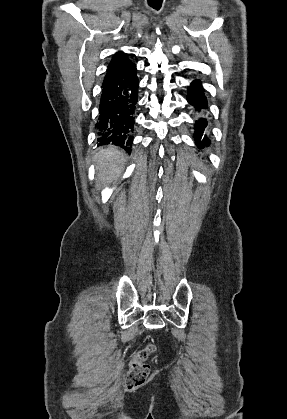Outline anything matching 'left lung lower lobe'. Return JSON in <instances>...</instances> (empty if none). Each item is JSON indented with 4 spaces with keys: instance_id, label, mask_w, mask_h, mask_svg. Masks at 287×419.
<instances>
[{
    "instance_id": "1",
    "label": "left lung lower lobe",
    "mask_w": 287,
    "mask_h": 419,
    "mask_svg": "<svg viewBox=\"0 0 287 419\" xmlns=\"http://www.w3.org/2000/svg\"><path fill=\"white\" fill-rule=\"evenodd\" d=\"M187 100L197 111L207 108V100L203 94V87L200 80L196 79L190 84ZM207 125L206 118H200L195 122V143L200 149L210 145V140L204 135Z\"/></svg>"
}]
</instances>
